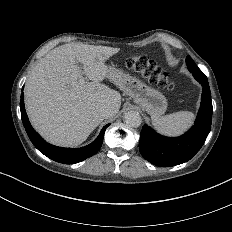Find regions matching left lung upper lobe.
Segmentation results:
<instances>
[{
  "instance_id": "1",
  "label": "left lung upper lobe",
  "mask_w": 232,
  "mask_h": 232,
  "mask_svg": "<svg viewBox=\"0 0 232 232\" xmlns=\"http://www.w3.org/2000/svg\"><path fill=\"white\" fill-rule=\"evenodd\" d=\"M186 64L189 71L193 74L194 78L197 81H208L206 75L198 68V66L194 63L190 56H187Z\"/></svg>"
}]
</instances>
